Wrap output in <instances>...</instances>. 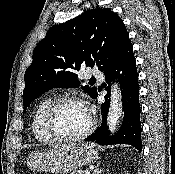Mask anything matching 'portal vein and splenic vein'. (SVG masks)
I'll return each mask as SVG.
<instances>
[{
    "label": "portal vein and splenic vein",
    "mask_w": 175,
    "mask_h": 174,
    "mask_svg": "<svg viewBox=\"0 0 175 174\" xmlns=\"http://www.w3.org/2000/svg\"><path fill=\"white\" fill-rule=\"evenodd\" d=\"M84 174H90V171H89V170H86V171L84 172Z\"/></svg>",
    "instance_id": "portal-vein-and-splenic-vein-1"
}]
</instances>
